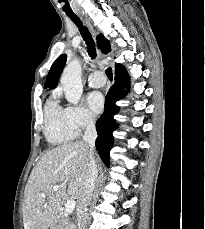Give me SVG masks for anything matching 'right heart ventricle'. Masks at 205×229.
Returning <instances> with one entry per match:
<instances>
[{
  "label": "right heart ventricle",
  "mask_w": 205,
  "mask_h": 229,
  "mask_svg": "<svg viewBox=\"0 0 205 229\" xmlns=\"http://www.w3.org/2000/svg\"><path fill=\"white\" fill-rule=\"evenodd\" d=\"M44 133L48 142L53 145L69 143L78 135L69 123L65 108L59 105L56 96L50 97L45 104Z\"/></svg>",
  "instance_id": "right-heart-ventricle-1"
}]
</instances>
